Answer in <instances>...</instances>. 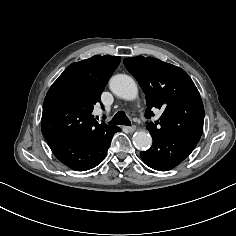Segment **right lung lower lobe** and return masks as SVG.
I'll return each mask as SVG.
<instances>
[{
	"label": "right lung lower lobe",
	"mask_w": 236,
	"mask_h": 236,
	"mask_svg": "<svg viewBox=\"0 0 236 236\" xmlns=\"http://www.w3.org/2000/svg\"><path fill=\"white\" fill-rule=\"evenodd\" d=\"M121 129L111 125L91 136L54 138L47 140L52 152L73 170L86 171L96 167L104 159L113 135Z\"/></svg>",
	"instance_id": "obj_1"
}]
</instances>
